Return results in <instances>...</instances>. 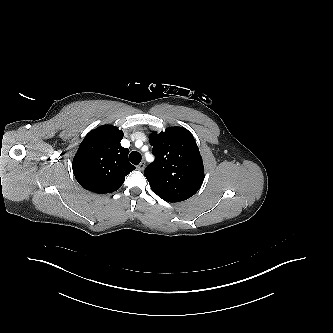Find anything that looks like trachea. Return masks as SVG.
<instances>
[{"instance_id":"trachea-1","label":"trachea","mask_w":333,"mask_h":333,"mask_svg":"<svg viewBox=\"0 0 333 333\" xmlns=\"http://www.w3.org/2000/svg\"><path fill=\"white\" fill-rule=\"evenodd\" d=\"M129 160L132 164L138 165L141 161V154L137 151H132L129 155Z\"/></svg>"}]
</instances>
